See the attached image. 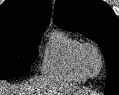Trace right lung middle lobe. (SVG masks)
<instances>
[{
  "instance_id": "dd1d6c3e",
  "label": "right lung middle lobe",
  "mask_w": 119,
  "mask_h": 95,
  "mask_svg": "<svg viewBox=\"0 0 119 95\" xmlns=\"http://www.w3.org/2000/svg\"><path fill=\"white\" fill-rule=\"evenodd\" d=\"M43 32L20 29L0 34V79H11L29 72Z\"/></svg>"
}]
</instances>
